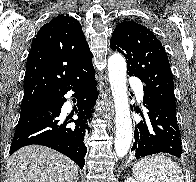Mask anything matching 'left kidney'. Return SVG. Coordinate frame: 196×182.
<instances>
[{
    "instance_id": "obj_1",
    "label": "left kidney",
    "mask_w": 196,
    "mask_h": 182,
    "mask_svg": "<svg viewBox=\"0 0 196 182\" xmlns=\"http://www.w3.org/2000/svg\"><path fill=\"white\" fill-rule=\"evenodd\" d=\"M125 182H137L133 177H127Z\"/></svg>"
}]
</instances>
